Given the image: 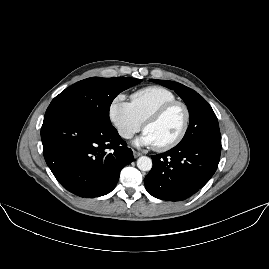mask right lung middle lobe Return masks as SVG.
Segmentation results:
<instances>
[{"label": "right lung middle lobe", "mask_w": 269, "mask_h": 269, "mask_svg": "<svg viewBox=\"0 0 269 269\" xmlns=\"http://www.w3.org/2000/svg\"><path fill=\"white\" fill-rule=\"evenodd\" d=\"M141 81L126 77L87 78L65 89L49 106L65 108L111 126L109 109L112 101L120 92Z\"/></svg>", "instance_id": "obj_1"}]
</instances>
